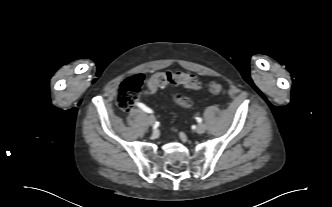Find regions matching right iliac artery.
Wrapping results in <instances>:
<instances>
[{
  "mask_svg": "<svg viewBox=\"0 0 332 207\" xmlns=\"http://www.w3.org/2000/svg\"><path fill=\"white\" fill-rule=\"evenodd\" d=\"M137 106L147 113H153V111L150 108H148L146 105H144L143 103H137Z\"/></svg>",
  "mask_w": 332,
  "mask_h": 207,
  "instance_id": "obj_1",
  "label": "right iliac artery"
}]
</instances>
